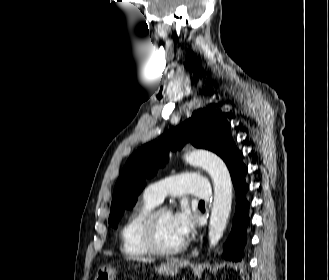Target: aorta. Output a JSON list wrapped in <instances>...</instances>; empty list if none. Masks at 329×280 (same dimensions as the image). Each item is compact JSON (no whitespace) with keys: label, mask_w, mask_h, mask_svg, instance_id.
<instances>
[{"label":"aorta","mask_w":329,"mask_h":280,"mask_svg":"<svg viewBox=\"0 0 329 280\" xmlns=\"http://www.w3.org/2000/svg\"><path fill=\"white\" fill-rule=\"evenodd\" d=\"M185 161L204 168L213 180L214 201L209 223V244L215 248L226 229L232 205V181L224 161L217 155L195 150L185 155Z\"/></svg>","instance_id":"obj_1"}]
</instances>
